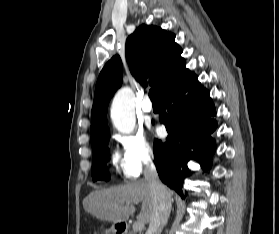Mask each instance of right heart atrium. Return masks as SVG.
Instances as JSON below:
<instances>
[{
    "label": "right heart atrium",
    "instance_id": "right-heart-atrium-1",
    "mask_svg": "<svg viewBox=\"0 0 279 234\" xmlns=\"http://www.w3.org/2000/svg\"><path fill=\"white\" fill-rule=\"evenodd\" d=\"M122 148L124 173L129 178L139 176L152 163L154 151L142 132H131L117 137Z\"/></svg>",
    "mask_w": 279,
    "mask_h": 234
}]
</instances>
